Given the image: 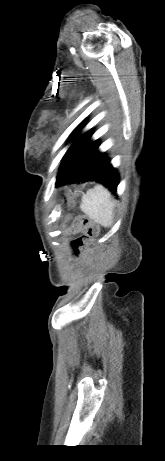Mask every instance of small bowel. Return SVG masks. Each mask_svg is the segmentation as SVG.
Returning <instances> with one entry per match:
<instances>
[{"mask_svg": "<svg viewBox=\"0 0 165 461\" xmlns=\"http://www.w3.org/2000/svg\"><path fill=\"white\" fill-rule=\"evenodd\" d=\"M91 234L89 229L84 231V234H72L64 245V252L68 253L67 261L69 263H77L79 256L85 255V248H81V242H87L88 236Z\"/></svg>", "mask_w": 165, "mask_h": 461, "instance_id": "c3829d8e", "label": "small bowel"}]
</instances>
